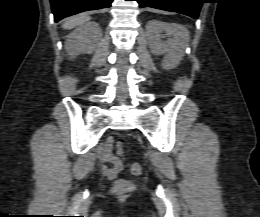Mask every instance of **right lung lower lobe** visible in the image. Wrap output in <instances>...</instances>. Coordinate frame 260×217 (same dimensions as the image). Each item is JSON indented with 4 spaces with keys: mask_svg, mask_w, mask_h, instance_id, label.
<instances>
[{
    "mask_svg": "<svg viewBox=\"0 0 260 217\" xmlns=\"http://www.w3.org/2000/svg\"><path fill=\"white\" fill-rule=\"evenodd\" d=\"M113 0H50L55 22L87 10L109 8Z\"/></svg>",
    "mask_w": 260,
    "mask_h": 217,
    "instance_id": "98d812e1",
    "label": "right lung lower lobe"
}]
</instances>
